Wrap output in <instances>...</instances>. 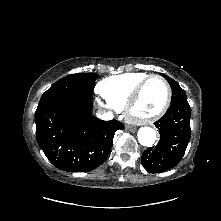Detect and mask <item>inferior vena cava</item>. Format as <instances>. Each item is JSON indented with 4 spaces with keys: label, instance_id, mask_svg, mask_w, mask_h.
<instances>
[{
    "label": "inferior vena cava",
    "instance_id": "602c4592",
    "mask_svg": "<svg viewBox=\"0 0 221 221\" xmlns=\"http://www.w3.org/2000/svg\"><path fill=\"white\" fill-rule=\"evenodd\" d=\"M97 117L102 120H111L113 118V114L111 112H105L103 110H100L97 113Z\"/></svg>",
    "mask_w": 221,
    "mask_h": 221
}]
</instances>
